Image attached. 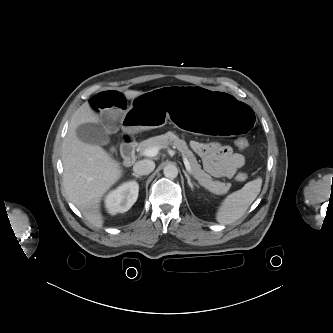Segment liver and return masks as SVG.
I'll return each mask as SVG.
<instances>
[{"instance_id":"1","label":"liver","mask_w":333,"mask_h":333,"mask_svg":"<svg viewBox=\"0 0 333 333\" xmlns=\"http://www.w3.org/2000/svg\"><path fill=\"white\" fill-rule=\"evenodd\" d=\"M141 94V91H124L127 99ZM99 122V115L88 102L84 103L72 116L62 144L64 192L69 201L96 227L104 223L100 210L101 198L122 175L120 163L102 147L84 143L77 137L76 128L79 125Z\"/></svg>"}]
</instances>
